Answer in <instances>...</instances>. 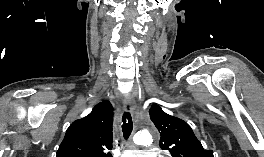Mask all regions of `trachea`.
Wrapping results in <instances>:
<instances>
[{"label":"trachea","instance_id":"trachea-1","mask_svg":"<svg viewBox=\"0 0 264 157\" xmlns=\"http://www.w3.org/2000/svg\"><path fill=\"white\" fill-rule=\"evenodd\" d=\"M122 131L123 136L127 140L129 136L131 135L132 129H133V122L131 114L128 112H125L122 117Z\"/></svg>","mask_w":264,"mask_h":157}]
</instances>
